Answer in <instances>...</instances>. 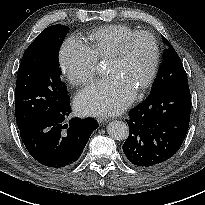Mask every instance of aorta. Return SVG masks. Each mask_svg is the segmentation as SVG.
Here are the masks:
<instances>
[{
    "label": "aorta",
    "mask_w": 205,
    "mask_h": 205,
    "mask_svg": "<svg viewBox=\"0 0 205 205\" xmlns=\"http://www.w3.org/2000/svg\"><path fill=\"white\" fill-rule=\"evenodd\" d=\"M109 136L115 140H126L129 135L128 125L122 121H112L107 126Z\"/></svg>",
    "instance_id": "1"
}]
</instances>
